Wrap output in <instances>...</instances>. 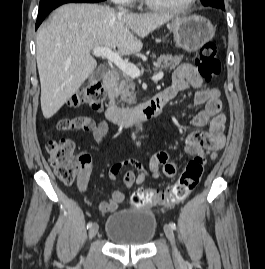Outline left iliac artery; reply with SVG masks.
I'll use <instances>...</instances> for the list:
<instances>
[{
  "label": "left iliac artery",
  "mask_w": 265,
  "mask_h": 269,
  "mask_svg": "<svg viewBox=\"0 0 265 269\" xmlns=\"http://www.w3.org/2000/svg\"><path fill=\"white\" fill-rule=\"evenodd\" d=\"M169 226L173 229L176 230V224L174 222H171Z\"/></svg>",
  "instance_id": "left-iliac-artery-1"
}]
</instances>
